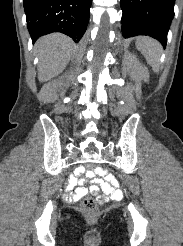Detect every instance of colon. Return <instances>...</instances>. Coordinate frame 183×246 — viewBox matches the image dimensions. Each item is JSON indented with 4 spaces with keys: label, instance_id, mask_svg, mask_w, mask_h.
Masks as SVG:
<instances>
[{
    "label": "colon",
    "instance_id": "colon-1",
    "mask_svg": "<svg viewBox=\"0 0 183 246\" xmlns=\"http://www.w3.org/2000/svg\"><path fill=\"white\" fill-rule=\"evenodd\" d=\"M95 166V162H86L84 164V169H93ZM81 208L84 213L94 215L97 211V203L93 198L87 197L83 200Z\"/></svg>",
    "mask_w": 183,
    "mask_h": 246
}]
</instances>
